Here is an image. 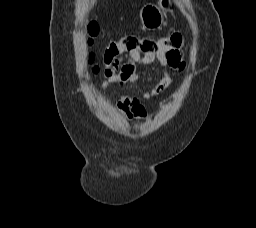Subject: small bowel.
<instances>
[{"instance_id": "c3829d8e", "label": "small bowel", "mask_w": 256, "mask_h": 228, "mask_svg": "<svg viewBox=\"0 0 256 228\" xmlns=\"http://www.w3.org/2000/svg\"><path fill=\"white\" fill-rule=\"evenodd\" d=\"M157 60L164 70L162 79L151 89L144 91L143 99L149 100L152 97L166 90L172 82L169 68L183 69L184 63L181 59L180 50L170 49L165 45V38L160 40V48L156 52L142 53L138 50L123 54L116 64L104 65V80L102 87L110 84L124 85L134 83L141 78L136 71L138 65H148ZM120 112L127 118L144 119L146 110L139 98L123 96L117 103Z\"/></svg>"}]
</instances>
